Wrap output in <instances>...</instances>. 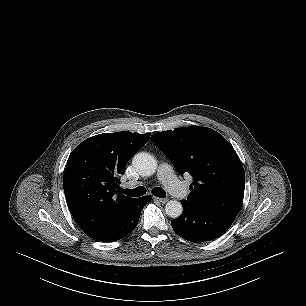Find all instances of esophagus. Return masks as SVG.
<instances>
[{"instance_id": "34e87169", "label": "esophagus", "mask_w": 306, "mask_h": 306, "mask_svg": "<svg viewBox=\"0 0 306 306\" xmlns=\"http://www.w3.org/2000/svg\"><path fill=\"white\" fill-rule=\"evenodd\" d=\"M154 201L159 202L161 204H165L168 201V198H158L154 197Z\"/></svg>"}]
</instances>
